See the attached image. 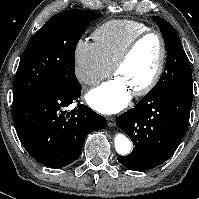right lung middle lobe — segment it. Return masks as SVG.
<instances>
[{"label": "right lung middle lobe", "instance_id": "dd1d6c3e", "mask_svg": "<svg viewBox=\"0 0 199 199\" xmlns=\"http://www.w3.org/2000/svg\"><path fill=\"white\" fill-rule=\"evenodd\" d=\"M100 16L95 11L66 10L34 34L16 72L13 109L48 92L81 89L74 72L75 48L88 24Z\"/></svg>", "mask_w": 199, "mask_h": 199}]
</instances>
